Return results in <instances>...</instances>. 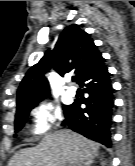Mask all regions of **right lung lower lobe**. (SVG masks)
<instances>
[{
	"mask_svg": "<svg viewBox=\"0 0 135 166\" xmlns=\"http://www.w3.org/2000/svg\"><path fill=\"white\" fill-rule=\"evenodd\" d=\"M102 59L97 65L84 73L78 84L85 86L86 99H75L65 111V120L72 130L107 147L111 146L110 128L114 108L113 88L110 73ZM85 104L86 108H81Z\"/></svg>",
	"mask_w": 135,
	"mask_h": 166,
	"instance_id": "1",
	"label": "right lung lower lobe"
}]
</instances>
